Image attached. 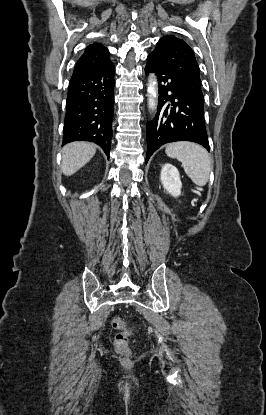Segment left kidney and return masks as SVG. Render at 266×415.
<instances>
[{"label":"left kidney","instance_id":"5707ae66","mask_svg":"<svg viewBox=\"0 0 266 415\" xmlns=\"http://www.w3.org/2000/svg\"><path fill=\"white\" fill-rule=\"evenodd\" d=\"M161 183L164 189L173 197H178L181 194L182 183L180 174L176 167L167 163L161 170Z\"/></svg>","mask_w":266,"mask_h":415}]
</instances>
